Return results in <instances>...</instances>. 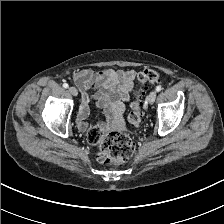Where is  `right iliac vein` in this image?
I'll list each match as a JSON object with an SVG mask.
<instances>
[{
    "instance_id": "63e3f726",
    "label": "right iliac vein",
    "mask_w": 224,
    "mask_h": 224,
    "mask_svg": "<svg viewBox=\"0 0 224 224\" xmlns=\"http://www.w3.org/2000/svg\"><path fill=\"white\" fill-rule=\"evenodd\" d=\"M69 92L73 95V96H77L78 95V91L75 87L71 86L69 87Z\"/></svg>"
}]
</instances>
